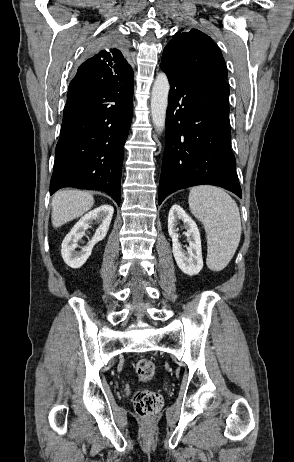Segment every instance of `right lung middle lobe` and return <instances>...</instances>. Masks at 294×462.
<instances>
[{
  "label": "right lung middle lobe",
  "mask_w": 294,
  "mask_h": 462,
  "mask_svg": "<svg viewBox=\"0 0 294 462\" xmlns=\"http://www.w3.org/2000/svg\"><path fill=\"white\" fill-rule=\"evenodd\" d=\"M123 40L115 31H109L98 37L89 47L90 53H96L101 48L120 47Z\"/></svg>",
  "instance_id": "right-lung-middle-lobe-1"
}]
</instances>
